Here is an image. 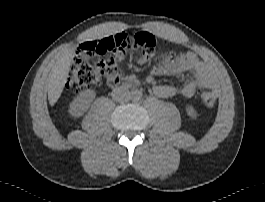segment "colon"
Wrapping results in <instances>:
<instances>
[{
  "instance_id": "1",
  "label": "colon",
  "mask_w": 265,
  "mask_h": 202,
  "mask_svg": "<svg viewBox=\"0 0 265 202\" xmlns=\"http://www.w3.org/2000/svg\"><path fill=\"white\" fill-rule=\"evenodd\" d=\"M98 48L102 54L111 55L104 58L77 56L72 60L66 81L70 92L80 93L92 85L118 79L122 75V70L116 59L125 50H132L143 59L151 58L162 50L150 35L125 32L102 37L98 40ZM198 98L203 107L213 108L217 102L218 91L214 87L201 88L198 91Z\"/></svg>"
}]
</instances>
